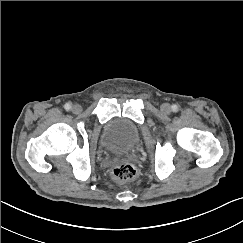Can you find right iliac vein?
I'll use <instances>...</instances> for the list:
<instances>
[{
	"instance_id": "obj_1",
	"label": "right iliac vein",
	"mask_w": 243,
	"mask_h": 243,
	"mask_svg": "<svg viewBox=\"0 0 243 243\" xmlns=\"http://www.w3.org/2000/svg\"><path fill=\"white\" fill-rule=\"evenodd\" d=\"M82 111V107L79 104H74L72 106V112L74 114H79Z\"/></svg>"
}]
</instances>
